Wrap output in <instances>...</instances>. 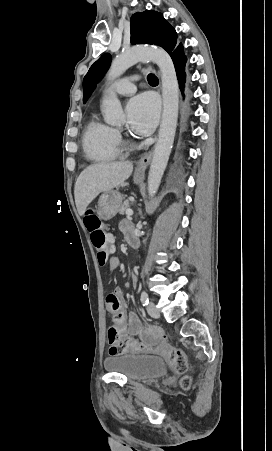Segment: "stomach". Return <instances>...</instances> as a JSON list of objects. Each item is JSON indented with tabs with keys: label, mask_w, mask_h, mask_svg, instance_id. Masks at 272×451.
<instances>
[{
	"label": "stomach",
	"mask_w": 272,
	"mask_h": 451,
	"mask_svg": "<svg viewBox=\"0 0 272 451\" xmlns=\"http://www.w3.org/2000/svg\"><path fill=\"white\" fill-rule=\"evenodd\" d=\"M143 180V174H135L134 182L135 184H140ZM123 196H121L120 192L117 190H107V192H103L99 198L98 202V216H100L101 220H111L116 216L121 204H122Z\"/></svg>",
	"instance_id": "0dacf381"
}]
</instances>
